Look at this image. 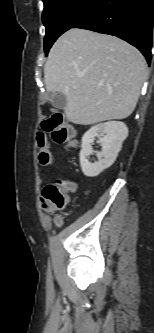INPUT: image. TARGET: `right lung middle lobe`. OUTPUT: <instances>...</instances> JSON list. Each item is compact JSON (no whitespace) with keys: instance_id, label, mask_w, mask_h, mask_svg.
I'll use <instances>...</instances> for the list:
<instances>
[{"instance_id":"1","label":"right lung middle lobe","mask_w":154,"mask_h":333,"mask_svg":"<svg viewBox=\"0 0 154 333\" xmlns=\"http://www.w3.org/2000/svg\"><path fill=\"white\" fill-rule=\"evenodd\" d=\"M99 0H43L46 27L45 53L55 40L80 21Z\"/></svg>"}]
</instances>
